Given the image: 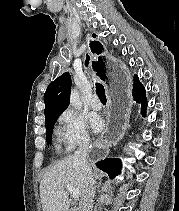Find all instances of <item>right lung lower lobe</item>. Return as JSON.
Instances as JSON below:
<instances>
[{
    "instance_id": "98d812e1",
    "label": "right lung lower lobe",
    "mask_w": 179,
    "mask_h": 211,
    "mask_svg": "<svg viewBox=\"0 0 179 211\" xmlns=\"http://www.w3.org/2000/svg\"><path fill=\"white\" fill-rule=\"evenodd\" d=\"M134 100L137 103H141V113L143 116L146 115L147 100L145 96V89L139 82L138 77L134 76L133 93ZM96 166L104 172H107L110 178H114L119 174L121 170V161L117 158H107L96 163Z\"/></svg>"
}]
</instances>
